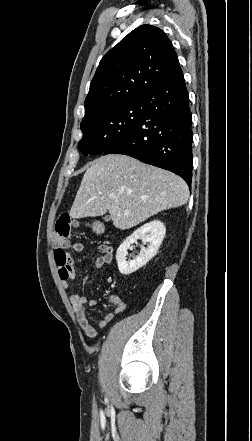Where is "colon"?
I'll return each instance as SVG.
<instances>
[{
	"instance_id": "colon-1",
	"label": "colon",
	"mask_w": 252,
	"mask_h": 441,
	"mask_svg": "<svg viewBox=\"0 0 252 441\" xmlns=\"http://www.w3.org/2000/svg\"><path fill=\"white\" fill-rule=\"evenodd\" d=\"M72 221L69 215H62L56 222L54 231L55 241V257L57 263L66 268L68 263L67 248L69 246L68 239L70 237Z\"/></svg>"
}]
</instances>
